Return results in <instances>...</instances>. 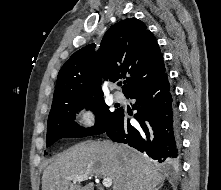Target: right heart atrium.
<instances>
[{
    "instance_id": "d8ad5b80",
    "label": "right heart atrium",
    "mask_w": 221,
    "mask_h": 190,
    "mask_svg": "<svg viewBox=\"0 0 221 190\" xmlns=\"http://www.w3.org/2000/svg\"><path fill=\"white\" fill-rule=\"evenodd\" d=\"M77 124L80 129L87 131L96 127L98 122L97 111L92 106H82L77 111Z\"/></svg>"
}]
</instances>
